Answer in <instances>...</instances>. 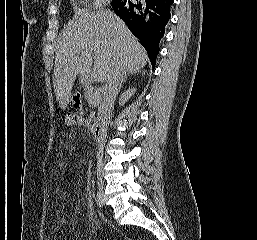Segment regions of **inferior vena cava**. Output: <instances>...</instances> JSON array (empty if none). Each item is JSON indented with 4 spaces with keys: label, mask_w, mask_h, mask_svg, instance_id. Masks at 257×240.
<instances>
[{
    "label": "inferior vena cava",
    "mask_w": 257,
    "mask_h": 240,
    "mask_svg": "<svg viewBox=\"0 0 257 240\" xmlns=\"http://www.w3.org/2000/svg\"><path fill=\"white\" fill-rule=\"evenodd\" d=\"M123 75V71L118 59L114 64L110 75L108 76L104 87L102 88L103 94V101H102V110H101V130L102 135L100 139V147L102 149L103 144L105 143V138L107 135V125L109 124L110 116L113 110L114 102L116 96L119 91V85L121 81V77ZM103 162H102V155H98V162H97V172L102 169Z\"/></svg>",
    "instance_id": "1"
}]
</instances>
